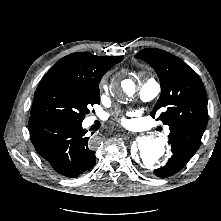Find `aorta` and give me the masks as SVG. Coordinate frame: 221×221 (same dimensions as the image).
Masks as SVG:
<instances>
[{"label":"aorta","mask_w":221,"mask_h":221,"mask_svg":"<svg viewBox=\"0 0 221 221\" xmlns=\"http://www.w3.org/2000/svg\"><path fill=\"white\" fill-rule=\"evenodd\" d=\"M121 88L127 96H132L135 86L132 80L121 82ZM166 153L165 141L158 137L144 136L137 140V150L133 154L139 165L150 169L164 158Z\"/></svg>","instance_id":"762f6f07"}]
</instances>
